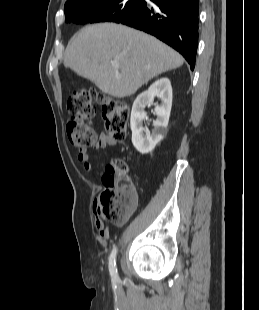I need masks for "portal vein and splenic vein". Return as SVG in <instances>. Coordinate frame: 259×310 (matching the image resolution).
Wrapping results in <instances>:
<instances>
[{
  "mask_svg": "<svg viewBox=\"0 0 259 310\" xmlns=\"http://www.w3.org/2000/svg\"><path fill=\"white\" fill-rule=\"evenodd\" d=\"M112 66H113L114 68H118V67H119V64H118L117 62H112Z\"/></svg>",
  "mask_w": 259,
  "mask_h": 310,
  "instance_id": "18ae733b",
  "label": "portal vein and splenic vein"
}]
</instances>
